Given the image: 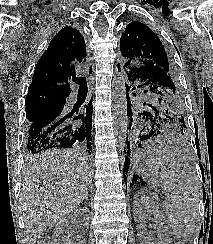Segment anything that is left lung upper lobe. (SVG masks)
I'll use <instances>...</instances> for the list:
<instances>
[{"instance_id": "obj_1", "label": "left lung upper lobe", "mask_w": 213, "mask_h": 244, "mask_svg": "<svg viewBox=\"0 0 213 244\" xmlns=\"http://www.w3.org/2000/svg\"><path fill=\"white\" fill-rule=\"evenodd\" d=\"M120 51V66L129 82L127 105H131L128 92L132 88L143 106L142 112L164 127L166 133L186 135V110L177 71L158 36L147 25L131 22L121 36Z\"/></svg>"}]
</instances>
